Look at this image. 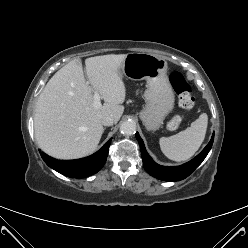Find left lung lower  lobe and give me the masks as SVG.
<instances>
[{"label":"left lung lower lobe","mask_w":248,"mask_h":248,"mask_svg":"<svg viewBox=\"0 0 248 248\" xmlns=\"http://www.w3.org/2000/svg\"><path fill=\"white\" fill-rule=\"evenodd\" d=\"M136 138L140 144L141 155L143 160V166L145 170L153 177L164 180V181H179L185 179L189 176L205 159L207 154L209 153L213 140L214 133L208 145L203 149V151L198 154L191 161L180 165V166H161L153 161V159L147 153L144 143L139 136L138 132L136 133Z\"/></svg>","instance_id":"left-lung-lower-lobe-1"}]
</instances>
